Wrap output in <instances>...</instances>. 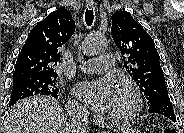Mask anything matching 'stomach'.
<instances>
[{
	"label": "stomach",
	"instance_id": "obj_1",
	"mask_svg": "<svg viewBox=\"0 0 184 133\" xmlns=\"http://www.w3.org/2000/svg\"><path fill=\"white\" fill-rule=\"evenodd\" d=\"M130 133H138V132H130Z\"/></svg>",
	"mask_w": 184,
	"mask_h": 133
}]
</instances>
